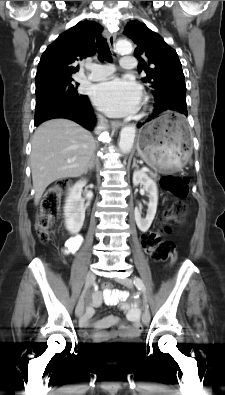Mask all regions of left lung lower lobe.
Returning a JSON list of instances; mask_svg holds the SVG:
<instances>
[{"label":"left lung lower lobe","mask_w":225,"mask_h":395,"mask_svg":"<svg viewBox=\"0 0 225 395\" xmlns=\"http://www.w3.org/2000/svg\"><path fill=\"white\" fill-rule=\"evenodd\" d=\"M156 103L154 105V110L152 116H149L147 121H150L152 118L156 117L160 113L166 110H173L182 115L187 116V106L183 99L180 98H171V99H155ZM143 123L138 124V128H140Z\"/></svg>","instance_id":"1"}]
</instances>
